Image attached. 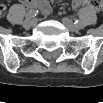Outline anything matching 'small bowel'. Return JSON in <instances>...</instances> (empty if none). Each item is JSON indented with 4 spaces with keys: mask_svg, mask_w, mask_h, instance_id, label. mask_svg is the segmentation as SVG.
I'll list each match as a JSON object with an SVG mask.
<instances>
[{
    "mask_svg": "<svg viewBox=\"0 0 103 103\" xmlns=\"http://www.w3.org/2000/svg\"><path fill=\"white\" fill-rule=\"evenodd\" d=\"M26 7L28 8H38L40 9L44 14H48L50 12V6L46 1L43 0H23L22 2ZM73 7H79L84 4V1H78L74 0L72 2ZM4 9V7H3Z\"/></svg>",
    "mask_w": 103,
    "mask_h": 103,
    "instance_id": "small-bowel-1",
    "label": "small bowel"
}]
</instances>
